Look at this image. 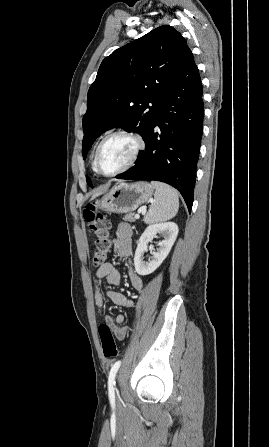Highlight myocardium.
<instances>
[{
    "label": "myocardium",
    "mask_w": 269,
    "mask_h": 447,
    "mask_svg": "<svg viewBox=\"0 0 269 447\" xmlns=\"http://www.w3.org/2000/svg\"><path fill=\"white\" fill-rule=\"evenodd\" d=\"M120 134L128 135V136L132 137L136 141V148L127 164H125L123 167L116 169L114 171L105 172L100 167V155H101L102 148H103L104 144L111 137L120 135ZM144 148H145V139L140 133H138L134 130H131V129H124V128L113 130V131L109 132L107 135H105V137L101 140V142L99 143V145L96 149V154H95L96 169L100 174H102L104 176H113L118 173L129 170L130 168H132L135 165V163L137 162V160L140 157Z\"/></svg>",
    "instance_id": "f54148a6"
}]
</instances>
